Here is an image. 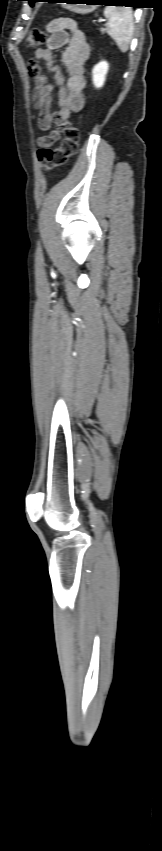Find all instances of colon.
I'll return each instance as SVG.
<instances>
[{
    "mask_svg": "<svg viewBox=\"0 0 162 851\" xmlns=\"http://www.w3.org/2000/svg\"><path fill=\"white\" fill-rule=\"evenodd\" d=\"M46 37L45 31L34 28L28 34L27 46L31 48L39 47L46 41ZM58 131L62 135L58 147H42L38 150V159L45 171L65 164L76 153L78 148L79 130L76 126L67 123L62 124L59 126Z\"/></svg>",
    "mask_w": 162,
    "mask_h": 851,
    "instance_id": "obj_1",
    "label": "colon"
}]
</instances>
